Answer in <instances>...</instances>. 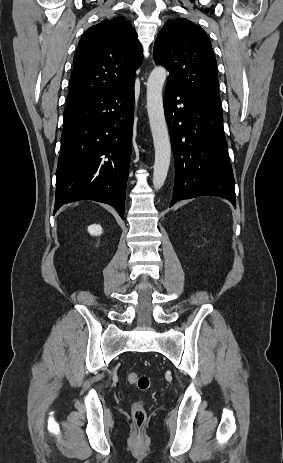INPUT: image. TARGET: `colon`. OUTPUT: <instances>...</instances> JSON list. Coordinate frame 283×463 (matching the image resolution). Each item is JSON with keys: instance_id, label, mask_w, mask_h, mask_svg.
<instances>
[{"instance_id": "5ec220e1", "label": "colon", "mask_w": 283, "mask_h": 463, "mask_svg": "<svg viewBox=\"0 0 283 463\" xmlns=\"http://www.w3.org/2000/svg\"><path fill=\"white\" fill-rule=\"evenodd\" d=\"M127 379L130 384L135 385L142 392H147L151 387V380L147 375L129 373ZM131 415L136 427V433L140 435L147 419L144 400L142 398H138L132 403Z\"/></svg>"}]
</instances>
